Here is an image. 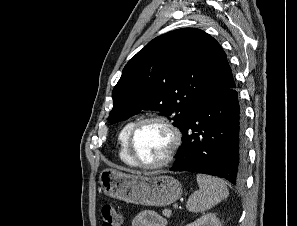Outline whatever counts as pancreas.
<instances>
[{
    "label": "pancreas",
    "mask_w": 297,
    "mask_h": 226,
    "mask_svg": "<svg viewBox=\"0 0 297 226\" xmlns=\"http://www.w3.org/2000/svg\"><path fill=\"white\" fill-rule=\"evenodd\" d=\"M162 214L165 216V217H170L171 216V210H168V209H164Z\"/></svg>",
    "instance_id": "1"
}]
</instances>
